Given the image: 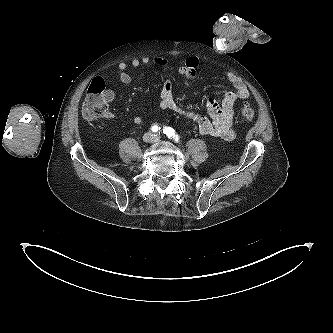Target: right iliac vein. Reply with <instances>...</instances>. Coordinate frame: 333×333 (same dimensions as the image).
I'll use <instances>...</instances> for the list:
<instances>
[{
  "label": "right iliac vein",
  "instance_id": "obj_1",
  "mask_svg": "<svg viewBox=\"0 0 333 333\" xmlns=\"http://www.w3.org/2000/svg\"><path fill=\"white\" fill-rule=\"evenodd\" d=\"M152 139H153V137H152V135H151L150 133H146V134L143 136V140H144L145 142H150V141H152Z\"/></svg>",
  "mask_w": 333,
  "mask_h": 333
}]
</instances>
